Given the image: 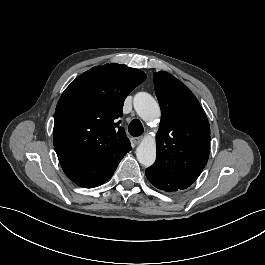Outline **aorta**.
I'll use <instances>...</instances> for the list:
<instances>
[{
	"instance_id": "obj_1",
	"label": "aorta",
	"mask_w": 265,
	"mask_h": 265,
	"mask_svg": "<svg viewBox=\"0 0 265 265\" xmlns=\"http://www.w3.org/2000/svg\"><path fill=\"white\" fill-rule=\"evenodd\" d=\"M133 106L139 117L152 121L160 117V107L155 99L147 92H138L133 99ZM136 157L140 164L150 167L156 160V144L152 137H145L136 149Z\"/></svg>"
}]
</instances>
